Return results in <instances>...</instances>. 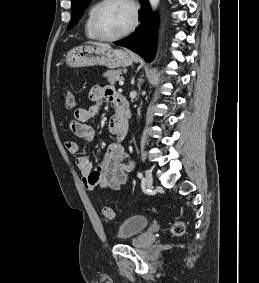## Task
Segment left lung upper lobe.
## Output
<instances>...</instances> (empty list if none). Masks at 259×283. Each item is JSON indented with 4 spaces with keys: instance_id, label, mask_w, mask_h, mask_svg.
<instances>
[{
    "instance_id": "obj_1",
    "label": "left lung upper lobe",
    "mask_w": 259,
    "mask_h": 283,
    "mask_svg": "<svg viewBox=\"0 0 259 283\" xmlns=\"http://www.w3.org/2000/svg\"><path fill=\"white\" fill-rule=\"evenodd\" d=\"M91 0H72L71 20L68 29H71L81 18L84 9L89 5Z\"/></svg>"
}]
</instances>
